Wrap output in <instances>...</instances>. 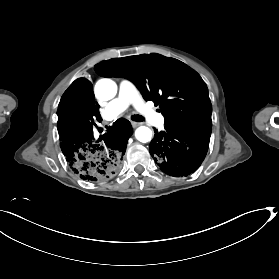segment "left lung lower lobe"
Instances as JSON below:
<instances>
[{
	"mask_svg": "<svg viewBox=\"0 0 279 279\" xmlns=\"http://www.w3.org/2000/svg\"><path fill=\"white\" fill-rule=\"evenodd\" d=\"M211 129H180L165 126L151 141L149 151L160 169L170 176H187L203 162Z\"/></svg>",
	"mask_w": 279,
	"mask_h": 279,
	"instance_id": "1",
	"label": "left lung lower lobe"
}]
</instances>
